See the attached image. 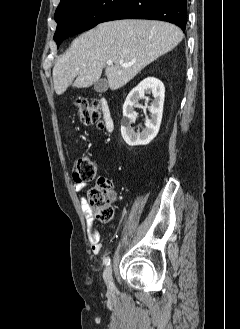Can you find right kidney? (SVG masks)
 <instances>
[{"label":"right kidney","instance_id":"obj_1","mask_svg":"<svg viewBox=\"0 0 240 329\" xmlns=\"http://www.w3.org/2000/svg\"><path fill=\"white\" fill-rule=\"evenodd\" d=\"M145 93H152L154 99L148 107L151 115L150 118L145 119V129L141 132H135L131 124L135 121L137 114L134 107L140 98L145 97ZM165 88L163 83L154 78L148 77L141 81L132 91L128 94L126 101L123 105V119L121 122V134L124 141L129 146L147 145L158 134L164 104ZM147 98V102H148Z\"/></svg>","mask_w":240,"mask_h":329}]
</instances>
